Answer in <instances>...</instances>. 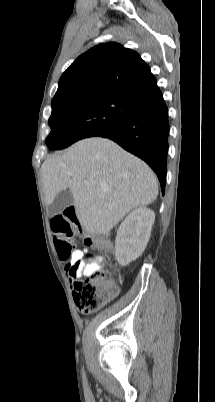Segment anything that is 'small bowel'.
<instances>
[{
  "label": "small bowel",
  "mask_w": 215,
  "mask_h": 402,
  "mask_svg": "<svg viewBox=\"0 0 215 402\" xmlns=\"http://www.w3.org/2000/svg\"><path fill=\"white\" fill-rule=\"evenodd\" d=\"M82 251L77 250L72 254L71 260L66 266V271L68 273L70 284L74 287L76 281L80 280L83 276H90L97 268V264H81L76 270H72V265L79 259L82 255Z\"/></svg>",
  "instance_id": "c3829d8e"
}]
</instances>
